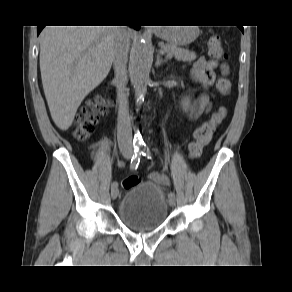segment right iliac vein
I'll list each match as a JSON object with an SVG mask.
<instances>
[{
  "instance_id": "1",
  "label": "right iliac vein",
  "mask_w": 292,
  "mask_h": 292,
  "mask_svg": "<svg viewBox=\"0 0 292 292\" xmlns=\"http://www.w3.org/2000/svg\"><path fill=\"white\" fill-rule=\"evenodd\" d=\"M125 157L128 159V158H130V155L129 154H125ZM118 193H119L118 189L117 188H113L111 190V197H112V199H116L117 196H118Z\"/></svg>"
}]
</instances>
